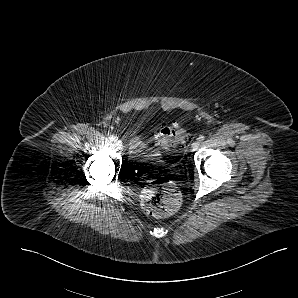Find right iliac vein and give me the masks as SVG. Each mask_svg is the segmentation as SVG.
I'll use <instances>...</instances> for the list:
<instances>
[{"mask_svg": "<svg viewBox=\"0 0 298 298\" xmlns=\"http://www.w3.org/2000/svg\"><path fill=\"white\" fill-rule=\"evenodd\" d=\"M115 146H116L118 149H122V148H123V143H122V141H120V140H115Z\"/></svg>", "mask_w": 298, "mask_h": 298, "instance_id": "obj_1", "label": "right iliac vein"}]
</instances>
